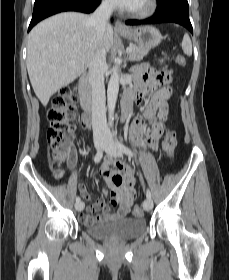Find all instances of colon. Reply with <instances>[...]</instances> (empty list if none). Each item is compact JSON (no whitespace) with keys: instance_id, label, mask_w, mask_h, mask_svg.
<instances>
[{"instance_id":"obj_1","label":"colon","mask_w":229,"mask_h":280,"mask_svg":"<svg viewBox=\"0 0 229 280\" xmlns=\"http://www.w3.org/2000/svg\"><path fill=\"white\" fill-rule=\"evenodd\" d=\"M174 61L183 66L186 63L185 56L183 54H177L174 57ZM155 80L163 85H167L172 81V72L166 68H156L153 70ZM76 98L75 89L72 87H63L59 93L52 99V106L48 112L49 127L47 129V142L52 149V162L56 166H61L68 155L72 151L71 132L75 121V115L73 114V104ZM177 146L176 132L172 129H168L163 140L162 149L168 157H172ZM60 171L57 172V176L60 175ZM124 177L121 175L113 176V182L116 185L122 184ZM117 201V195L111 193L109 196V202L114 204ZM133 213L136 216H142L143 210L140 206H136L133 209Z\"/></svg>"}]
</instances>
